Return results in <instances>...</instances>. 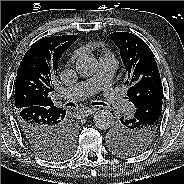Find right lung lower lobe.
<instances>
[{
  "label": "right lung lower lobe",
  "instance_id": "1",
  "mask_svg": "<svg viewBox=\"0 0 184 184\" xmlns=\"http://www.w3.org/2000/svg\"><path fill=\"white\" fill-rule=\"evenodd\" d=\"M16 115L23 136L36 152L60 145L69 129L66 111L55 106H29Z\"/></svg>",
  "mask_w": 184,
  "mask_h": 184
}]
</instances>
